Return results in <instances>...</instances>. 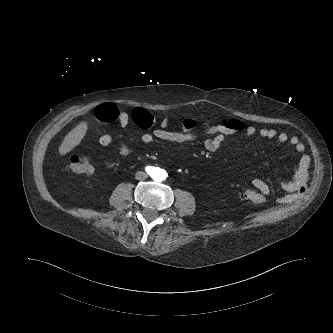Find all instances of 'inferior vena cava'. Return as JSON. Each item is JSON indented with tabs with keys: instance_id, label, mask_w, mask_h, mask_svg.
I'll return each instance as SVG.
<instances>
[{
	"instance_id": "obj_1",
	"label": "inferior vena cava",
	"mask_w": 333,
	"mask_h": 333,
	"mask_svg": "<svg viewBox=\"0 0 333 333\" xmlns=\"http://www.w3.org/2000/svg\"><path fill=\"white\" fill-rule=\"evenodd\" d=\"M135 178L137 180H145L146 178H148V175L145 172L139 171L136 173Z\"/></svg>"
}]
</instances>
